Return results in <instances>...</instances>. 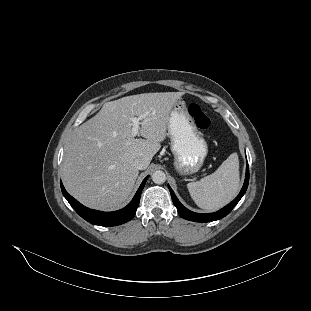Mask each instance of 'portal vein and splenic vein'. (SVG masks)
I'll return each mask as SVG.
<instances>
[{
  "instance_id": "portal-vein-and-splenic-vein-1",
  "label": "portal vein and splenic vein",
  "mask_w": 311,
  "mask_h": 311,
  "mask_svg": "<svg viewBox=\"0 0 311 311\" xmlns=\"http://www.w3.org/2000/svg\"><path fill=\"white\" fill-rule=\"evenodd\" d=\"M141 119H143V116H139V117L134 116L131 119L132 120V123H131V125H132V132H133L134 135L138 134V132L140 130V121H141Z\"/></svg>"
}]
</instances>
